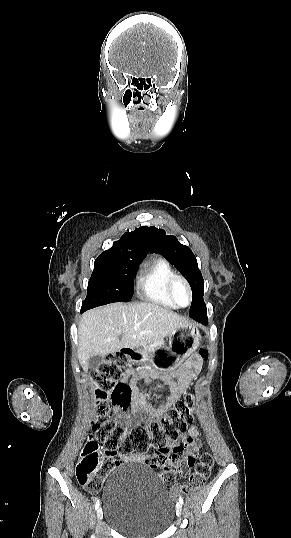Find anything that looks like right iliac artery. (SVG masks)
Masks as SVG:
<instances>
[{
  "instance_id": "82829eb1",
  "label": "right iliac artery",
  "mask_w": 291,
  "mask_h": 538,
  "mask_svg": "<svg viewBox=\"0 0 291 538\" xmlns=\"http://www.w3.org/2000/svg\"><path fill=\"white\" fill-rule=\"evenodd\" d=\"M99 505H100V501H99V499H98V500L96 501V504H95V509H96V510L98 509Z\"/></svg>"
}]
</instances>
